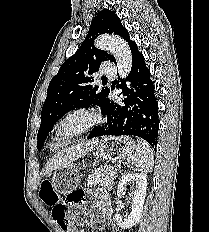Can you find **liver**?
<instances>
[{
	"label": "liver",
	"instance_id": "6515ba94",
	"mask_svg": "<svg viewBox=\"0 0 209 232\" xmlns=\"http://www.w3.org/2000/svg\"><path fill=\"white\" fill-rule=\"evenodd\" d=\"M97 144L98 141L94 140L91 142L80 143L63 150L46 165L45 174L78 160L91 151Z\"/></svg>",
	"mask_w": 209,
	"mask_h": 232
}]
</instances>
